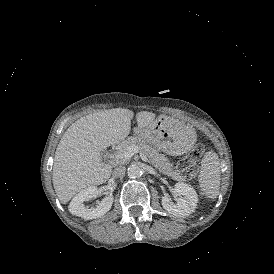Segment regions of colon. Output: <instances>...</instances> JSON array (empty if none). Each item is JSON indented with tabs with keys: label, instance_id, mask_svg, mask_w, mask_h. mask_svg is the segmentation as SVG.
Here are the masks:
<instances>
[{
	"label": "colon",
	"instance_id": "obj_1",
	"mask_svg": "<svg viewBox=\"0 0 274 274\" xmlns=\"http://www.w3.org/2000/svg\"><path fill=\"white\" fill-rule=\"evenodd\" d=\"M204 146H194L177 165L178 172L183 176H194L197 173V162L204 154Z\"/></svg>",
	"mask_w": 274,
	"mask_h": 274
}]
</instances>
